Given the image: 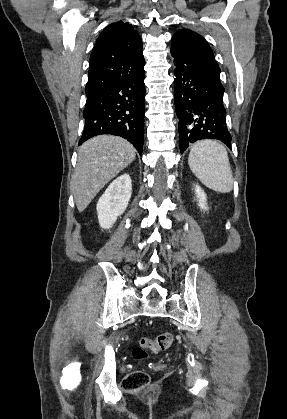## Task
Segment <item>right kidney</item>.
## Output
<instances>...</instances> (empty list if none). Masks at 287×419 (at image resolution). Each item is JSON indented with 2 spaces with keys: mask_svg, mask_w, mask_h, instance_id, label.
<instances>
[{
  "mask_svg": "<svg viewBox=\"0 0 287 419\" xmlns=\"http://www.w3.org/2000/svg\"><path fill=\"white\" fill-rule=\"evenodd\" d=\"M132 194L131 178L123 174L116 178L106 189L97 203V214L102 229H109L116 222L117 217L122 215Z\"/></svg>",
  "mask_w": 287,
  "mask_h": 419,
  "instance_id": "1",
  "label": "right kidney"
}]
</instances>
